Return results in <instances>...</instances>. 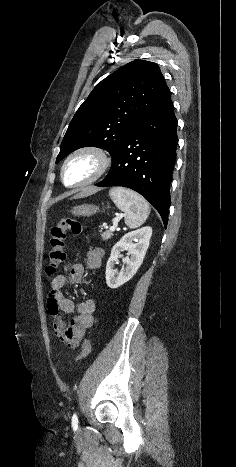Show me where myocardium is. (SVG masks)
Segmentation results:
<instances>
[{
  "label": "myocardium",
  "instance_id": "1",
  "mask_svg": "<svg viewBox=\"0 0 236 467\" xmlns=\"http://www.w3.org/2000/svg\"><path fill=\"white\" fill-rule=\"evenodd\" d=\"M81 154H91V155L95 156L97 158V160H98L99 167H98L96 173L91 178H89L88 180H85V181L80 182V183L68 184V183H66L65 177H64L65 168H66L67 164L74 157H76L78 155H81ZM111 164H112V157H111L110 153L105 148L100 147V146H96V145L82 146V147L74 150L72 153H70L67 156V158L65 159V161L63 162L62 167H61L62 182H63V184L65 186L71 187V188L82 187V186L92 184V183L96 182L97 180H99L102 176H104L107 173V171L111 167Z\"/></svg>",
  "mask_w": 236,
  "mask_h": 467
}]
</instances>
